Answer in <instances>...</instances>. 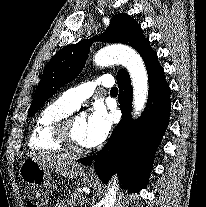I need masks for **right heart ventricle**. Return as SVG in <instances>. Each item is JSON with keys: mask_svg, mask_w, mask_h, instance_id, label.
<instances>
[{"mask_svg": "<svg viewBox=\"0 0 206 207\" xmlns=\"http://www.w3.org/2000/svg\"><path fill=\"white\" fill-rule=\"evenodd\" d=\"M72 109L62 97L48 103L37 115L30 132L28 145L35 151L62 152L55 140V125L72 114Z\"/></svg>", "mask_w": 206, "mask_h": 207, "instance_id": "e07e8e85", "label": "right heart ventricle"}]
</instances>
